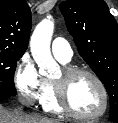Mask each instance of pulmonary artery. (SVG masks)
<instances>
[{"instance_id":"1","label":"pulmonary artery","mask_w":118,"mask_h":123,"mask_svg":"<svg viewBox=\"0 0 118 123\" xmlns=\"http://www.w3.org/2000/svg\"><path fill=\"white\" fill-rule=\"evenodd\" d=\"M51 51L54 57L62 63H67L73 56V51L69 43L62 39L56 38L51 44Z\"/></svg>"}]
</instances>
